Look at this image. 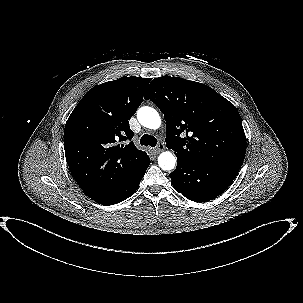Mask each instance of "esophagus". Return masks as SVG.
Returning <instances> with one entry per match:
<instances>
[{
	"label": "esophagus",
	"mask_w": 303,
	"mask_h": 303,
	"mask_svg": "<svg viewBox=\"0 0 303 303\" xmlns=\"http://www.w3.org/2000/svg\"><path fill=\"white\" fill-rule=\"evenodd\" d=\"M163 150H164V145H163L162 143H159V144L157 145V147L154 148V152H155V153H160V152L163 151Z\"/></svg>",
	"instance_id": "1"
}]
</instances>
